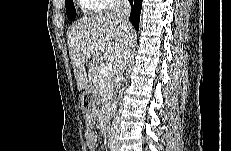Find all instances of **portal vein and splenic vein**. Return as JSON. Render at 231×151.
<instances>
[{
	"mask_svg": "<svg viewBox=\"0 0 231 151\" xmlns=\"http://www.w3.org/2000/svg\"><path fill=\"white\" fill-rule=\"evenodd\" d=\"M97 50H104V46L100 43H95L93 46ZM112 71V64L111 63H105L101 66L100 73L103 75H107Z\"/></svg>",
	"mask_w": 231,
	"mask_h": 151,
	"instance_id": "obj_1",
	"label": "portal vein and splenic vein"
}]
</instances>
